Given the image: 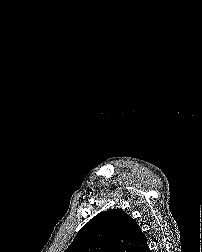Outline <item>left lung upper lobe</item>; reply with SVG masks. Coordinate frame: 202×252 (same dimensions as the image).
<instances>
[{
  "label": "left lung upper lobe",
  "instance_id": "5c2ea615",
  "mask_svg": "<svg viewBox=\"0 0 202 252\" xmlns=\"http://www.w3.org/2000/svg\"><path fill=\"white\" fill-rule=\"evenodd\" d=\"M140 230L122 210L103 211L79 230L65 252H134Z\"/></svg>",
  "mask_w": 202,
  "mask_h": 252
}]
</instances>
